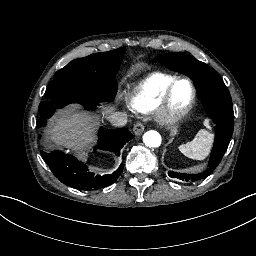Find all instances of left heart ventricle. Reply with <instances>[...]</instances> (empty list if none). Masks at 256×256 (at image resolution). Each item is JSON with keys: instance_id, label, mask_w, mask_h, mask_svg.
I'll list each match as a JSON object with an SVG mask.
<instances>
[{"instance_id": "b2bd125f", "label": "left heart ventricle", "mask_w": 256, "mask_h": 256, "mask_svg": "<svg viewBox=\"0 0 256 256\" xmlns=\"http://www.w3.org/2000/svg\"><path fill=\"white\" fill-rule=\"evenodd\" d=\"M191 100V89L190 86L182 82L176 87L173 96L171 98V106L174 110H181L186 107ZM152 104L149 101L144 102L143 111L151 112Z\"/></svg>"}]
</instances>
